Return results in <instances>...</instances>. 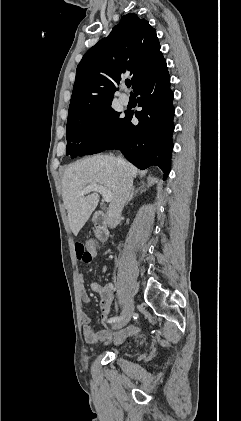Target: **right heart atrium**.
Masks as SVG:
<instances>
[{
  "instance_id": "d8ad5b80",
  "label": "right heart atrium",
  "mask_w": 241,
  "mask_h": 421,
  "mask_svg": "<svg viewBox=\"0 0 241 421\" xmlns=\"http://www.w3.org/2000/svg\"><path fill=\"white\" fill-rule=\"evenodd\" d=\"M108 130V125L105 122H98L95 126V134L103 136Z\"/></svg>"
}]
</instances>
